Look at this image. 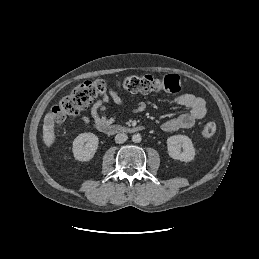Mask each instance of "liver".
Here are the masks:
<instances>
[{
	"label": "liver",
	"instance_id": "obj_1",
	"mask_svg": "<svg viewBox=\"0 0 259 259\" xmlns=\"http://www.w3.org/2000/svg\"><path fill=\"white\" fill-rule=\"evenodd\" d=\"M55 117L53 113H47L44 117L43 124V141L45 145L49 148L55 142Z\"/></svg>",
	"mask_w": 259,
	"mask_h": 259
}]
</instances>
